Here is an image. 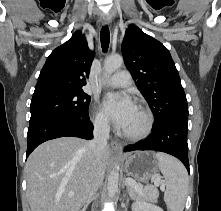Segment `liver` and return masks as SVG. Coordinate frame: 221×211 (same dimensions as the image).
<instances>
[{
	"label": "liver",
	"instance_id": "6515ba94",
	"mask_svg": "<svg viewBox=\"0 0 221 211\" xmlns=\"http://www.w3.org/2000/svg\"><path fill=\"white\" fill-rule=\"evenodd\" d=\"M111 157H101L104 170ZM95 158L90 142L62 137L39 145L26 163L27 196L31 211H79L93 180Z\"/></svg>",
	"mask_w": 221,
	"mask_h": 211
}]
</instances>
